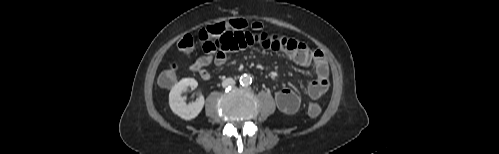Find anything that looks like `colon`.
I'll use <instances>...</instances> for the list:
<instances>
[{"label": "colon", "mask_w": 499, "mask_h": 154, "mask_svg": "<svg viewBox=\"0 0 499 154\" xmlns=\"http://www.w3.org/2000/svg\"><path fill=\"white\" fill-rule=\"evenodd\" d=\"M248 27L253 29H260L261 25L259 23H253L249 25L245 20L242 19H234L227 22H220L213 25H208L203 27L198 32V38L202 41H208L214 39L227 31L230 30H238L243 31ZM195 44V39L193 35L187 34L184 35L178 42L177 47L181 51H190ZM177 71L178 67L175 63H171L167 69H165L159 78V82L164 87L172 86L177 79ZM321 106L316 102H310L308 105V114L312 118H316L321 114Z\"/></svg>", "instance_id": "5ec220e1"}]
</instances>
